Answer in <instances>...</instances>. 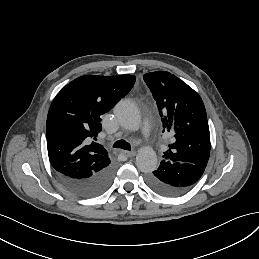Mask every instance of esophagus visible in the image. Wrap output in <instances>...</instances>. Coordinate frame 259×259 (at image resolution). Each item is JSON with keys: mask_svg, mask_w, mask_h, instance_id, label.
Segmentation results:
<instances>
[{"mask_svg": "<svg viewBox=\"0 0 259 259\" xmlns=\"http://www.w3.org/2000/svg\"><path fill=\"white\" fill-rule=\"evenodd\" d=\"M122 153L127 157H134L136 155V151H122Z\"/></svg>", "mask_w": 259, "mask_h": 259, "instance_id": "1", "label": "esophagus"}]
</instances>
